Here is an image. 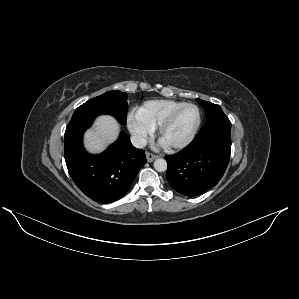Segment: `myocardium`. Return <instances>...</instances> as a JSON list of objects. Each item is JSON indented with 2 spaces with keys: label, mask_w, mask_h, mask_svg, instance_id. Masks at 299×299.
<instances>
[{
  "label": "myocardium",
  "mask_w": 299,
  "mask_h": 299,
  "mask_svg": "<svg viewBox=\"0 0 299 299\" xmlns=\"http://www.w3.org/2000/svg\"><path fill=\"white\" fill-rule=\"evenodd\" d=\"M186 107H194L196 108L197 112H198V119L196 122V125L194 127V129L192 130V132L190 133V135L184 139L181 142L178 143H174V144H166L163 142L162 140V135L164 133V131L166 130V128L174 121L175 117L178 115V113L183 110ZM201 122H202V112L201 109L193 103H184L183 105L177 107L176 109H174L173 111H171L165 118L164 120L159 124V126L157 127V133H158V138L160 140V142L167 148L170 150H176V149H182L186 146H188L193 139L195 138L200 126H201Z\"/></svg>",
  "instance_id": "f54148a6"
}]
</instances>
